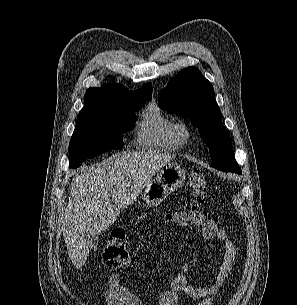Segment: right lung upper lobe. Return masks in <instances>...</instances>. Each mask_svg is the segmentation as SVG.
Returning a JSON list of instances; mask_svg holds the SVG:
<instances>
[{
    "instance_id": "obj_1",
    "label": "right lung upper lobe",
    "mask_w": 297,
    "mask_h": 305,
    "mask_svg": "<svg viewBox=\"0 0 297 305\" xmlns=\"http://www.w3.org/2000/svg\"><path fill=\"white\" fill-rule=\"evenodd\" d=\"M151 95L152 85L149 82L135 92L118 84H104L101 88L87 89L83 109L106 108L121 102L150 99Z\"/></svg>"
}]
</instances>
